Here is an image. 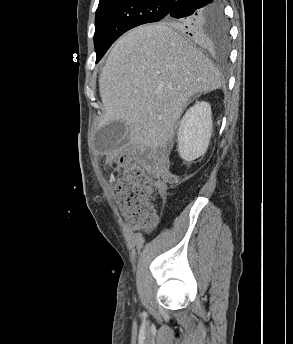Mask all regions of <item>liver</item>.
Instances as JSON below:
<instances>
[{
	"instance_id": "liver-1",
	"label": "liver",
	"mask_w": 293,
	"mask_h": 344,
	"mask_svg": "<svg viewBox=\"0 0 293 344\" xmlns=\"http://www.w3.org/2000/svg\"><path fill=\"white\" fill-rule=\"evenodd\" d=\"M222 83L212 61L171 26L137 27L117 40L100 73L103 123L125 122L127 145L162 149L191 97Z\"/></svg>"
}]
</instances>
